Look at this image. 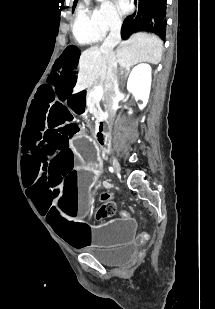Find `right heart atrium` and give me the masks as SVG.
<instances>
[{
  "instance_id": "obj_1",
  "label": "right heart atrium",
  "mask_w": 215,
  "mask_h": 309,
  "mask_svg": "<svg viewBox=\"0 0 215 309\" xmlns=\"http://www.w3.org/2000/svg\"><path fill=\"white\" fill-rule=\"evenodd\" d=\"M105 5L97 10L94 14V24L97 29H101L103 33L115 34L122 25V18L119 12L114 8L113 2H105Z\"/></svg>"
}]
</instances>
